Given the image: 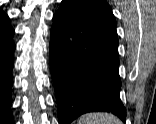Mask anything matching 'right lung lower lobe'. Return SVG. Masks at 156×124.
<instances>
[{
    "label": "right lung lower lobe",
    "instance_id": "right-lung-lower-lobe-1",
    "mask_svg": "<svg viewBox=\"0 0 156 124\" xmlns=\"http://www.w3.org/2000/svg\"><path fill=\"white\" fill-rule=\"evenodd\" d=\"M14 30L9 26L0 27V124H14L11 113L12 69L15 45L12 41Z\"/></svg>",
    "mask_w": 156,
    "mask_h": 124
}]
</instances>
